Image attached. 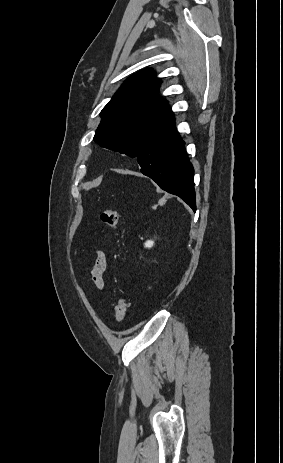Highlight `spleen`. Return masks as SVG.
Listing matches in <instances>:
<instances>
[{"instance_id": "3e777b00", "label": "spleen", "mask_w": 283, "mask_h": 463, "mask_svg": "<svg viewBox=\"0 0 283 463\" xmlns=\"http://www.w3.org/2000/svg\"><path fill=\"white\" fill-rule=\"evenodd\" d=\"M165 201H166V198L163 197V198L159 201V203H164Z\"/></svg>"}]
</instances>
